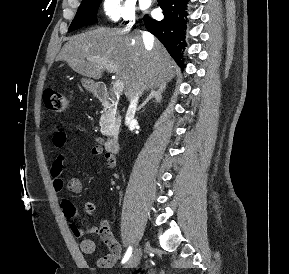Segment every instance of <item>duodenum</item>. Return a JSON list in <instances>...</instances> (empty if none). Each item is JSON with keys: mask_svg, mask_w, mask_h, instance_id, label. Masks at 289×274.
Returning <instances> with one entry per match:
<instances>
[{"mask_svg": "<svg viewBox=\"0 0 289 274\" xmlns=\"http://www.w3.org/2000/svg\"><path fill=\"white\" fill-rule=\"evenodd\" d=\"M95 95L96 97L106 106L111 107L113 106V98L108 87L103 84H97L95 86ZM119 139L116 136H111L105 141V148L109 153L116 154L119 151Z\"/></svg>", "mask_w": 289, "mask_h": 274, "instance_id": "obj_1", "label": "duodenum"}]
</instances>
